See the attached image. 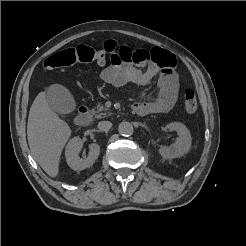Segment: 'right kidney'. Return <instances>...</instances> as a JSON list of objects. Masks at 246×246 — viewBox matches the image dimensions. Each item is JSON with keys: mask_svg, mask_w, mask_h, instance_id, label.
<instances>
[{"mask_svg": "<svg viewBox=\"0 0 246 246\" xmlns=\"http://www.w3.org/2000/svg\"><path fill=\"white\" fill-rule=\"evenodd\" d=\"M83 147V142L79 137L72 138L66 146L65 156L67 164L73 170H84L91 167L100 154V146L96 143L89 145L90 152L87 158H80L79 153Z\"/></svg>", "mask_w": 246, "mask_h": 246, "instance_id": "right-kidney-1", "label": "right kidney"}]
</instances>
